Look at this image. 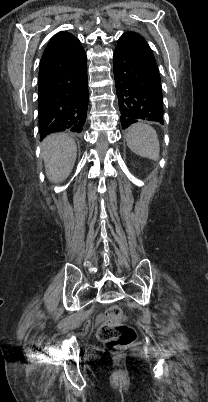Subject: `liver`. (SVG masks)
<instances>
[{
	"mask_svg": "<svg viewBox=\"0 0 208 402\" xmlns=\"http://www.w3.org/2000/svg\"><path fill=\"white\" fill-rule=\"evenodd\" d=\"M45 172L50 182H64L76 160L77 146L66 134H52L42 144Z\"/></svg>",
	"mask_w": 208,
	"mask_h": 402,
	"instance_id": "6515ba94",
	"label": "liver"
}]
</instances>
